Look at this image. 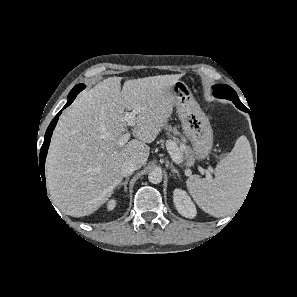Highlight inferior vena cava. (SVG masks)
Here are the masks:
<instances>
[{"label":"inferior vena cava","instance_id":"obj_1","mask_svg":"<svg viewBox=\"0 0 297 297\" xmlns=\"http://www.w3.org/2000/svg\"><path fill=\"white\" fill-rule=\"evenodd\" d=\"M138 169V165L134 161H126L120 169L121 175L123 177L130 176Z\"/></svg>","mask_w":297,"mask_h":297}]
</instances>
